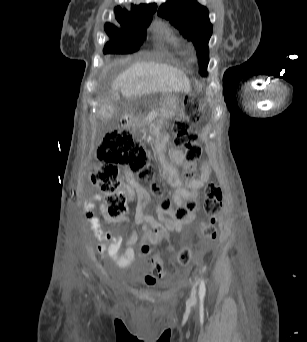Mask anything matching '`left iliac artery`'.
I'll return each mask as SVG.
<instances>
[{"label": "left iliac artery", "instance_id": "left-iliac-artery-1", "mask_svg": "<svg viewBox=\"0 0 307 342\" xmlns=\"http://www.w3.org/2000/svg\"><path fill=\"white\" fill-rule=\"evenodd\" d=\"M205 291H206L205 282L203 279H201L200 286H199V297H200L201 302L204 300Z\"/></svg>", "mask_w": 307, "mask_h": 342}]
</instances>
